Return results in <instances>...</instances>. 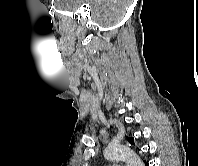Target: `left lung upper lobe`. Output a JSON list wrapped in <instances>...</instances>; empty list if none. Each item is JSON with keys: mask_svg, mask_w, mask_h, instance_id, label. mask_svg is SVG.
I'll return each mask as SVG.
<instances>
[{"mask_svg": "<svg viewBox=\"0 0 198 166\" xmlns=\"http://www.w3.org/2000/svg\"><path fill=\"white\" fill-rule=\"evenodd\" d=\"M128 141H129L131 144H133V137H131V138L129 137V138H128Z\"/></svg>", "mask_w": 198, "mask_h": 166, "instance_id": "5c2ea615", "label": "left lung upper lobe"}]
</instances>
